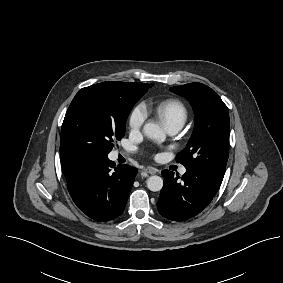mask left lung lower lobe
Here are the masks:
<instances>
[{
	"label": "left lung lower lobe",
	"mask_w": 283,
	"mask_h": 283,
	"mask_svg": "<svg viewBox=\"0 0 283 283\" xmlns=\"http://www.w3.org/2000/svg\"><path fill=\"white\" fill-rule=\"evenodd\" d=\"M164 185L157 202L159 213L173 221L196 216L208 206L219 187L186 170L180 178L172 171L163 170Z\"/></svg>",
	"instance_id": "1"
}]
</instances>
